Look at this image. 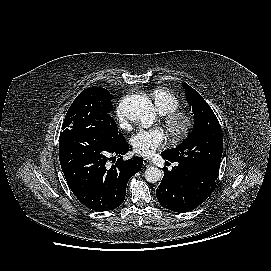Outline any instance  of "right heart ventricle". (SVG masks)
<instances>
[{
    "label": "right heart ventricle",
    "instance_id": "1",
    "mask_svg": "<svg viewBox=\"0 0 271 271\" xmlns=\"http://www.w3.org/2000/svg\"><path fill=\"white\" fill-rule=\"evenodd\" d=\"M152 97L161 114L175 112L180 106L179 100L173 94L163 89L155 90L152 93Z\"/></svg>",
    "mask_w": 271,
    "mask_h": 271
}]
</instances>
